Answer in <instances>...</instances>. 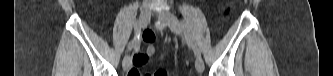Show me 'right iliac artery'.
<instances>
[{
	"label": "right iliac artery",
	"mask_w": 333,
	"mask_h": 76,
	"mask_svg": "<svg viewBox=\"0 0 333 76\" xmlns=\"http://www.w3.org/2000/svg\"><path fill=\"white\" fill-rule=\"evenodd\" d=\"M140 35H141V29L138 27V21L135 23V37L134 39L129 43L128 50H131L132 48H138L140 43Z\"/></svg>",
	"instance_id": "obj_1"
}]
</instances>
